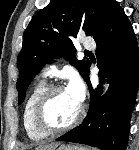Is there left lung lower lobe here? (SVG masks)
<instances>
[{"instance_id":"obj_1","label":"left lung lower lobe","mask_w":139,"mask_h":150,"mask_svg":"<svg viewBox=\"0 0 139 150\" xmlns=\"http://www.w3.org/2000/svg\"><path fill=\"white\" fill-rule=\"evenodd\" d=\"M97 44V66L107 73L109 91L101 97L90 84L89 71L85 78L90 91L87 117L57 141H68L94 146L102 150H125L129 124L139 85V54L135 34L124 10L116 2L107 23L94 38Z\"/></svg>"}]
</instances>
